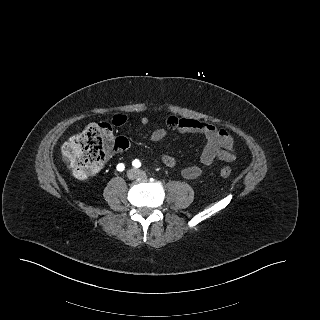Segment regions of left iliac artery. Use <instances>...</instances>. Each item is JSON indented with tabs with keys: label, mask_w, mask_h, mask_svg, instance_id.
Returning a JSON list of instances; mask_svg holds the SVG:
<instances>
[{
	"label": "left iliac artery",
	"mask_w": 320,
	"mask_h": 320,
	"mask_svg": "<svg viewBox=\"0 0 320 320\" xmlns=\"http://www.w3.org/2000/svg\"><path fill=\"white\" fill-rule=\"evenodd\" d=\"M132 165L135 167V168H138L141 166V163L138 159H135L133 162H132Z\"/></svg>",
	"instance_id": "obj_1"
}]
</instances>
